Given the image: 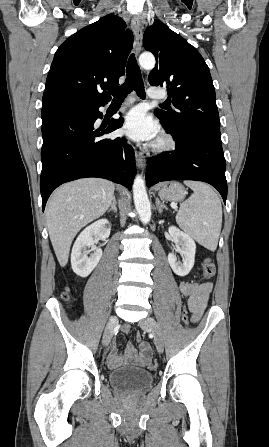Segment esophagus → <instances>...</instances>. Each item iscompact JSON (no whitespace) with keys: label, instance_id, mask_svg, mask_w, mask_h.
<instances>
[{"label":"esophagus","instance_id":"1","mask_svg":"<svg viewBox=\"0 0 269 447\" xmlns=\"http://www.w3.org/2000/svg\"><path fill=\"white\" fill-rule=\"evenodd\" d=\"M131 28L135 35V42H134V52L136 55L139 54L141 47H142V40H143V29L140 22V19L138 16H134L131 20ZM135 158H136V164L137 167L144 173V168L146 164V157L145 155L136 150L135 151Z\"/></svg>","mask_w":269,"mask_h":447}]
</instances>
